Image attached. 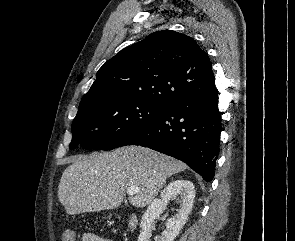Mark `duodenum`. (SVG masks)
Returning a JSON list of instances; mask_svg holds the SVG:
<instances>
[{
  "instance_id": "obj_1",
  "label": "duodenum",
  "mask_w": 295,
  "mask_h": 241,
  "mask_svg": "<svg viewBox=\"0 0 295 241\" xmlns=\"http://www.w3.org/2000/svg\"><path fill=\"white\" fill-rule=\"evenodd\" d=\"M135 224H136V218L132 217L130 222H129L130 228L133 229L135 227Z\"/></svg>"
}]
</instances>
